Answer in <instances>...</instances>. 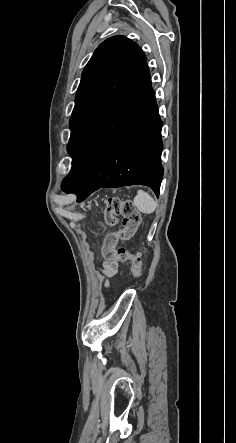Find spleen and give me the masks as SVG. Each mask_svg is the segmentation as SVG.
<instances>
[{"label":"spleen","instance_id":"1","mask_svg":"<svg viewBox=\"0 0 236 443\" xmlns=\"http://www.w3.org/2000/svg\"><path fill=\"white\" fill-rule=\"evenodd\" d=\"M134 204L137 209L144 214H151L156 210L157 204L154 199L143 190H138L134 198Z\"/></svg>","mask_w":236,"mask_h":443}]
</instances>
